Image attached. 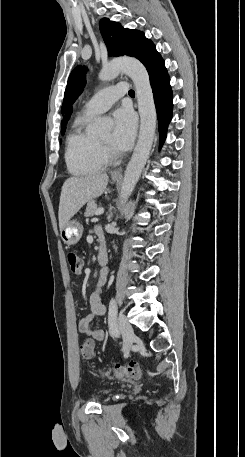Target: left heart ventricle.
Masks as SVG:
<instances>
[{"mask_svg": "<svg viewBox=\"0 0 245 457\" xmlns=\"http://www.w3.org/2000/svg\"><path fill=\"white\" fill-rule=\"evenodd\" d=\"M96 138H97L98 141H99L104 147H106L108 150H110V151H112V152L117 151V149H115V148L112 146V135H111V132H110V133L103 134V135H100V136H97Z\"/></svg>", "mask_w": 245, "mask_h": 457, "instance_id": "obj_1", "label": "left heart ventricle"}]
</instances>
